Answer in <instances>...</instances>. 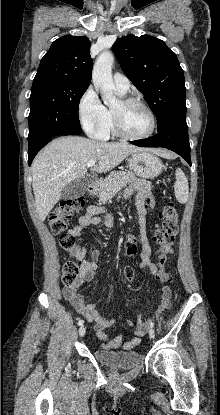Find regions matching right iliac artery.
I'll return each instance as SVG.
<instances>
[{"instance_id": "82829eb1", "label": "right iliac artery", "mask_w": 220, "mask_h": 415, "mask_svg": "<svg viewBox=\"0 0 220 415\" xmlns=\"http://www.w3.org/2000/svg\"><path fill=\"white\" fill-rule=\"evenodd\" d=\"M84 323V321L83 320H79L78 321V325L80 326V325H82Z\"/></svg>"}]
</instances>
